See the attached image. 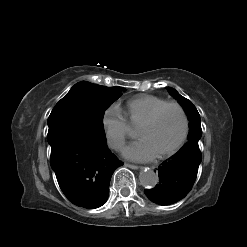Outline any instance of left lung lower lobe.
Returning a JSON list of instances; mask_svg holds the SVG:
<instances>
[{
    "mask_svg": "<svg viewBox=\"0 0 247 247\" xmlns=\"http://www.w3.org/2000/svg\"><path fill=\"white\" fill-rule=\"evenodd\" d=\"M201 159L198 142L189 141L159 166V183L145 190L146 196L160 205H170L183 199L194 184Z\"/></svg>",
    "mask_w": 247,
    "mask_h": 247,
    "instance_id": "obj_1",
    "label": "left lung lower lobe"
}]
</instances>
